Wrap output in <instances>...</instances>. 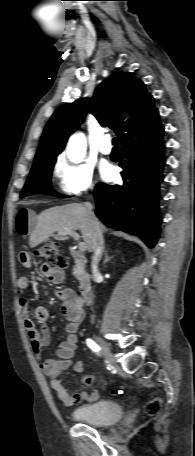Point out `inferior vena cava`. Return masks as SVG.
<instances>
[{"label": "inferior vena cava", "instance_id": "obj_1", "mask_svg": "<svg viewBox=\"0 0 195 456\" xmlns=\"http://www.w3.org/2000/svg\"><path fill=\"white\" fill-rule=\"evenodd\" d=\"M85 205L92 218L93 225L95 228V238H94L93 256H92V270H93V277L96 278L100 275V273L98 271V262L101 258V255H102V252L104 249V240H103L102 231L99 226V222L92 211V209H93L92 204L89 202H86Z\"/></svg>", "mask_w": 195, "mask_h": 456}]
</instances>
